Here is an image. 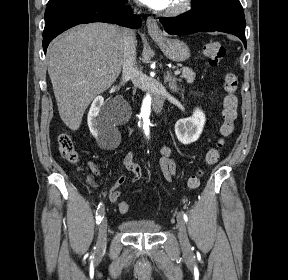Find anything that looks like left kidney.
<instances>
[{"mask_svg": "<svg viewBox=\"0 0 288 280\" xmlns=\"http://www.w3.org/2000/svg\"><path fill=\"white\" fill-rule=\"evenodd\" d=\"M206 118L200 109H195L193 115L180 119L175 124V134L177 139L183 144L195 142L200 137Z\"/></svg>", "mask_w": 288, "mask_h": 280, "instance_id": "obj_1", "label": "left kidney"}]
</instances>
